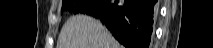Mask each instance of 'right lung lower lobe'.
I'll return each instance as SVG.
<instances>
[{
    "mask_svg": "<svg viewBox=\"0 0 213 48\" xmlns=\"http://www.w3.org/2000/svg\"><path fill=\"white\" fill-rule=\"evenodd\" d=\"M157 0H93L84 13L94 16L127 48H148Z\"/></svg>",
    "mask_w": 213,
    "mask_h": 48,
    "instance_id": "98d812e1",
    "label": "right lung lower lobe"
}]
</instances>
